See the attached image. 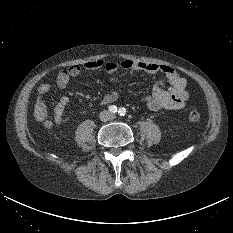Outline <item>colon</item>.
Segmentation results:
<instances>
[{"label": "colon", "mask_w": 233, "mask_h": 233, "mask_svg": "<svg viewBox=\"0 0 233 233\" xmlns=\"http://www.w3.org/2000/svg\"><path fill=\"white\" fill-rule=\"evenodd\" d=\"M40 116H43V112H40ZM188 118L191 122H198L201 119V116L196 110H190L188 113Z\"/></svg>", "instance_id": "obj_1"}]
</instances>
